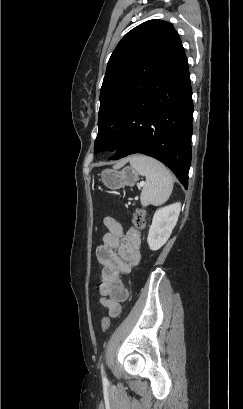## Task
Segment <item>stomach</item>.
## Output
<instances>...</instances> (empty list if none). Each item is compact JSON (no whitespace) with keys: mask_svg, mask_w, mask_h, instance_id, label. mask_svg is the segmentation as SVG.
I'll list each match as a JSON object with an SVG mask.
<instances>
[{"mask_svg":"<svg viewBox=\"0 0 243 409\" xmlns=\"http://www.w3.org/2000/svg\"><path fill=\"white\" fill-rule=\"evenodd\" d=\"M119 166L117 165L113 169H104L100 174L102 183L114 190L125 186H134L138 180V172L129 166L118 170Z\"/></svg>","mask_w":243,"mask_h":409,"instance_id":"0dacf381","label":"stomach"}]
</instances>
